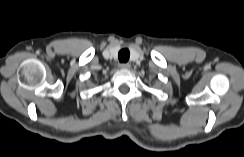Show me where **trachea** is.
Returning <instances> with one entry per match:
<instances>
[{"label":"trachea","instance_id":"obj_1","mask_svg":"<svg viewBox=\"0 0 244 157\" xmlns=\"http://www.w3.org/2000/svg\"><path fill=\"white\" fill-rule=\"evenodd\" d=\"M130 52L128 49H121L118 53V59L121 63H125L129 60Z\"/></svg>","mask_w":244,"mask_h":157}]
</instances>
